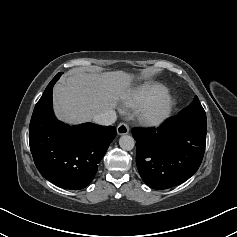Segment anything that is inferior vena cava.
Masks as SVG:
<instances>
[{"instance_id":"obj_1","label":"inferior vena cava","mask_w":237,"mask_h":237,"mask_svg":"<svg viewBox=\"0 0 237 237\" xmlns=\"http://www.w3.org/2000/svg\"><path fill=\"white\" fill-rule=\"evenodd\" d=\"M117 119L116 112L114 110H108L104 113L98 114L93 118L96 124L109 126L112 125Z\"/></svg>"}]
</instances>
